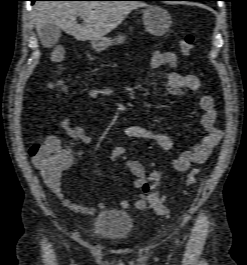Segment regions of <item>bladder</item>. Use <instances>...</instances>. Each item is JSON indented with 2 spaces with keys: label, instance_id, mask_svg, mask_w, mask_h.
<instances>
[{
  "label": "bladder",
  "instance_id": "bladder-1",
  "mask_svg": "<svg viewBox=\"0 0 247 265\" xmlns=\"http://www.w3.org/2000/svg\"><path fill=\"white\" fill-rule=\"evenodd\" d=\"M92 230L100 237L121 240L132 235L134 222L126 211L106 209L94 215Z\"/></svg>",
  "mask_w": 247,
  "mask_h": 265
}]
</instances>
